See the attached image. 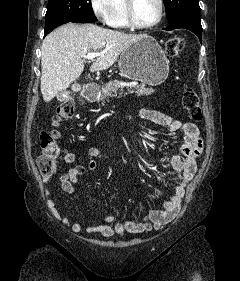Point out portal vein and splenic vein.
Here are the masks:
<instances>
[{"mask_svg":"<svg viewBox=\"0 0 240 281\" xmlns=\"http://www.w3.org/2000/svg\"><path fill=\"white\" fill-rule=\"evenodd\" d=\"M102 53H88L84 56L85 59L93 61L97 56H100ZM125 85V84H123Z\"/></svg>","mask_w":240,"mask_h":281,"instance_id":"obj_1","label":"portal vein and splenic vein"}]
</instances>
